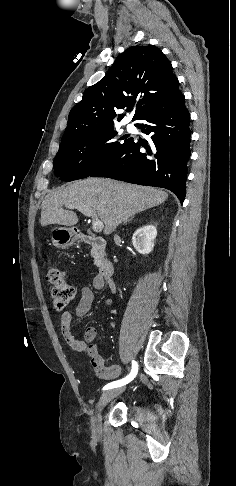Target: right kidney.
<instances>
[{"instance_id": "obj_1", "label": "right kidney", "mask_w": 236, "mask_h": 486, "mask_svg": "<svg viewBox=\"0 0 236 486\" xmlns=\"http://www.w3.org/2000/svg\"><path fill=\"white\" fill-rule=\"evenodd\" d=\"M157 236L156 227L146 225L136 230L132 237V244L140 254L147 255L154 248V240Z\"/></svg>"}]
</instances>
